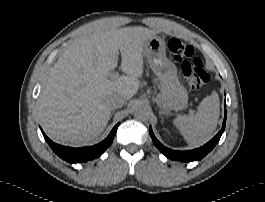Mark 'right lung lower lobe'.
I'll return each mask as SVG.
<instances>
[{"instance_id":"1","label":"right lung lower lobe","mask_w":265,"mask_h":202,"mask_svg":"<svg viewBox=\"0 0 265 202\" xmlns=\"http://www.w3.org/2000/svg\"><path fill=\"white\" fill-rule=\"evenodd\" d=\"M119 124L114 126L108 137L103 140L101 143L91 146V147H83V148H71L58 145L52 142L42 131L43 136L47 143L50 145L52 150L62 159L70 163H81L84 161H88L94 158L99 157L103 152L111 145L114 136L116 134L117 128Z\"/></svg>"}]
</instances>
